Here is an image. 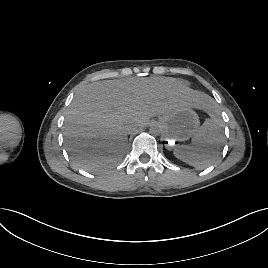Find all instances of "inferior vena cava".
<instances>
[{"label":"inferior vena cava","mask_w":268,"mask_h":268,"mask_svg":"<svg viewBox=\"0 0 268 268\" xmlns=\"http://www.w3.org/2000/svg\"><path fill=\"white\" fill-rule=\"evenodd\" d=\"M136 129H137V127H131V128L129 129V133L136 131Z\"/></svg>","instance_id":"obj_1"}]
</instances>
